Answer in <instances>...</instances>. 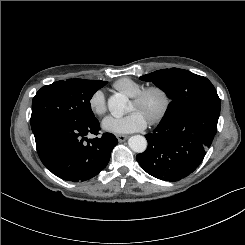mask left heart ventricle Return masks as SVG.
I'll return each mask as SVG.
<instances>
[{"label": "left heart ventricle", "instance_id": "b2bd125f", "mask_svg": "<svg viewBox=\"0 0 245 245\" xmlns=\"http://www.w3.org/2000/svg\"><path fill=\"white\" fill-rule=\"evenodd\" d=\"M161 107V99L157 95L151 96L145 105L138 107L135 103L131 102L130 111H138L147 120L150 116L159 111Z\"/></svg>", "mask_w": 245, "mask_h": 245}]
</instances>
